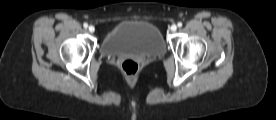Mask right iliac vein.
Wrapping results in <instances>:
<instances>
[{"instance_id": "right-iliac-vein-1", "label": "right iliac vein", "mask_w": 276, "mask_h": 120, "mask_svg": "<svg viewBox=\"0 0 276 120\" xmlns=\"http://www.w3.org/2000/svg\"><path fill=\"white\" fill-rule=\"evenodd\" d=\"M89 32L93 33L95 31V27L94 26H89L88 28Z\"/></svg>"}]
</instances>
